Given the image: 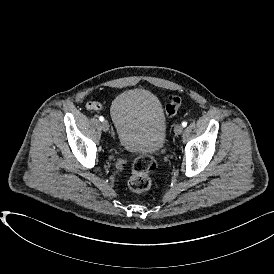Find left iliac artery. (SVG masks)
I'll list each match as a JSON object with an SVG mask.
<instances>
[{
	"label": "left iliac artery",
	"mask_w": 274,
	"mask_h": 274,
	"mask_svg": "<svg viewBox=\"0 0 274 274\" xmlns=\"http://www.w3.org/2000/svg\"><path fill=\"white\" fill-rule=\"evenodd\" d=\"M182 126L186 127L187 126V122L186 121L182 122Z\"/></svg>",
	"instance_id": "obj_1"
}]
</instances>
